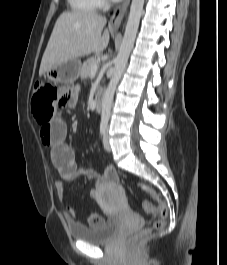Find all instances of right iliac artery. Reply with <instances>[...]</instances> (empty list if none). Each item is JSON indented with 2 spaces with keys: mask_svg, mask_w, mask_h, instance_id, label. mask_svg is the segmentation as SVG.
Returning a JSON list of instances; mask_svg holds the SVG:
<instances>
[{
  "mask_svg": "<svg viewBox=\"0 0 227 265\" xmlns=\"http://www.w3.org/2000/svg\"><path fill=\"white\" fill-rule=\"evenodd\" d=\"M107 129V123L106 122H102L100 125V133L101 135H104Z\"/></svg>",
  "mask_w": 227,
  "mask_h": 265,
  "instance_id": "1",
  "label": "right iliac artery"
}]
</instances>
